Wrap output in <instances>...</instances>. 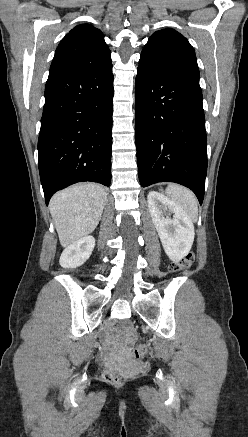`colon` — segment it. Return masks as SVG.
<instances>
[{
  "mask_svg": "<svg viewBox=\"0 0 248 437\" xmlns=\"http://www.w3.org/2000/svg\"><path fill=\"white\" fill-rule=\"evenodd\" d=\"M194 262V255L192 253L187 254L180 262L172 264L170 267L171 272H177L182 269H186L192 266ZM148 352L147 344H139L134 349V356L137 359L143 358ZM104 380L114 386L120 385L122 382V376L111 369H108L103 374Z\"/></svg>",
  "mask_w": 248,
  "mask_h": 437,
  "instance_id": "5ec220e1",
  "label": "colon"
}]
</instances>
